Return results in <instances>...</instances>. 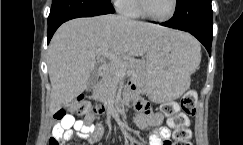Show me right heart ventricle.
Wrapping results in <instances>:
<instances>
[{
	"label": "right heart ventricle",
	"instance_id": "obj_1",
	"mask_svg": "<svg viewBox=\"0 0 243 145\" xmlns=\"http://www.w3.org/2000/svg\"><path fill=\"white\" fill-rule=\"evenodd\" d=\"M121 13L130 18H138L142 16L138 11L136 0H127L125 4L120 8Z\"/></svg>",
	"mask_w": 243,
	"mask_h": 145
}]
</instances>
